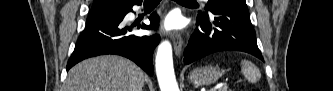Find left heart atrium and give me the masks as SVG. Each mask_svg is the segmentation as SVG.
Listing matches in <instances>:
<instances>
[{
    "label": "left heart atrium",
    "mask_w": 333,
    "mask_h": 91,
    "mask_svg": "<svg viewBox=\"0 0 333 91\" xmlns=\"http://www.w3.org/2000/svg\"><path fill=\"white\" fill-rule=\"evenodd\" d=\"M181 27V21L180 18L177 16H169L166 18L164 22V29L166 31L176 30Z\"/></svg>",
    "instance_id": "obj_1"
}]
</instances>
